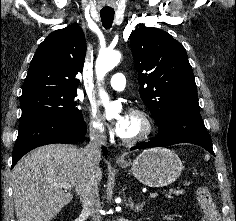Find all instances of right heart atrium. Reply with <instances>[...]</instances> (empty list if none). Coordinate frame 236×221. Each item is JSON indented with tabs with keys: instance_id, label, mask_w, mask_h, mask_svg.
Segmentation results:
<instances>
[{
	"instance_id": "d8ad5b80",
	"label": "right heart atrium",
	"mask_w": 236,
	"mask_h": 221,
	"mask_svg": "<svg viewBox=\"0 0 236 221\" xmlns=\"http://www.w3.org/2000/svg\"><path fill=\"white\" fill-rule=\"evenodd\" d=\"M88 129L91 136L97 140H105L109 135L106 123L93 109L89 110Z\"/></svg>"
}]
</instances>
